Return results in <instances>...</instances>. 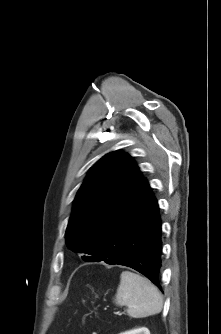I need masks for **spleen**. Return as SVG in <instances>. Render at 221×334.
<instances>
[{"label":"spleen","instance_id":"1","mask_svg":"<svg viewBox=\"0 0 221 334\" xmlns=\"http://www.w3.org/2000/svg\"><path fill=\"white\" fill-rule=\"evenodd\" d=\"M115 303L126 305L130 317L143 318L161 312L163 298L159 290L146 278L130 271H123Z\"/></svg>","mask_w":221,"mask_h":334}]
</instances>
